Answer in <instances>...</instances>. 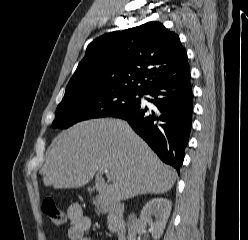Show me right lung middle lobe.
I'll list each match as a JSON object with an SVG mask.
<instances>
[{
	"mask_svg": "<svg viewBox=\"0 0 248 240\" xmlns=\"http://www.w3.org/2000/svg\"><path fill=\"white\" fill-rule=\"evenodd\" d=\"M143 93L125 89H69L57 106L53 128L65 129L92 118L109 117L140 102Z\"/></svg>",
	"mask_w": 248,
	"mask_h": 240,
	"instance_id": "right-lung-middle-lobe-1",
	"label": "right lung middle lobe"
}]
</instances>
